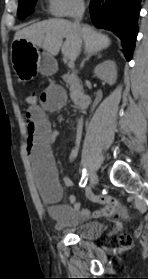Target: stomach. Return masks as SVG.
<instances>
[{
    "label": "stomach",
    "instance_id": "stomach-1",
    "mask_svg": "<svg viewBox=\"0 0 148 279\" xmlns=\"http://www.w3.org/2000/svg\"><path fill=\"white\" fill-rule=\"evenodd\" d=\"M12 50L10 59L20 80L25 81L42 73L49 75L57 68L56 60L52 56L41 54L35 45L24 39L17 40Z\"/></svg>",
    "mask_w": 148,
    "mask_h": 279
}]
</instances>
